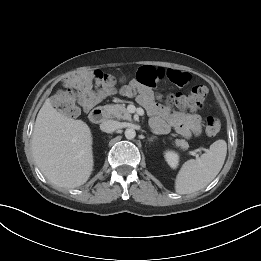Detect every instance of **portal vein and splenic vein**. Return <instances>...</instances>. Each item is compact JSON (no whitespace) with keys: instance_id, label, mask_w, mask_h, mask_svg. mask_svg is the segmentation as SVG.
I'll list each match as a JSON object with an SVG mask.
<instances>
[{"instance_id":"1","label":"portal vein and splenic vein","mask_w":261,"mask_h":261,"mask_svg":"<svg viewBox=\"0 0 261 261\" xmlns=\"http://www.w3.org/2000/svg\"><path fill=\"white\" fill-rule=\"evenodd\" d=\"M198 151H199V149H197L196 151H191L190 154L198 157V154H197Z\"/></svg>"}]
</instances>
